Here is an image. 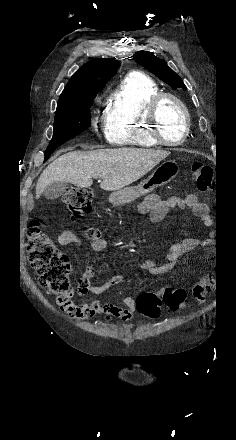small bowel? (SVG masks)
I'll use <instances>...</instances> for the list:
<instances>
[{
  "label": "small bowel",
  "mask_w": 236,
  "mask_h": 440,
  "mask_svg": "<svg viewBox=\"0 0 236 440\" xmlns=\"http://www.w3.org/2000/svg\"><path fill=\"white\" fill-rule=\"evenodd\" d=\"M171 208H190L193 210L194 214L201 219L205 226H212V220L207 212L206 205L199 202L194 194H189L185 197L171 196L167 200L161 199L157 194H150L138 205V211L141 214L146 215L150 223H158L162 221ZM57 241L62 246L81 245V239L76 233L70 230L63 231L58 236ZM207 243V241L201 242L194 237H186L170 248V251L163 261L150 263L148 265V270L153 274H164L175 266L186 253ZM90 247L94 252H102L106 249L107 242L100 237L92 238L90 241ZM94 275V268L89 267L85 270L76 287V294L78 296H84L87 294L98 296L109 290L111 287L120 284L123 280V276L120 273H115L110 275L105 282L97 285L92 282ZM122 303L124 307L111 303H102L97 299H93L90 302H76L71 298L68 304L62 306V309L67 314L77 319L91 318L99 314L103 315L105 322H109L111 319H120L124 322H128L132 315L137 311L136 298L125 296L122 299Z\"/></svg>",
  "instance_id": "1"
}]
</instances>
